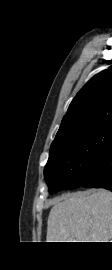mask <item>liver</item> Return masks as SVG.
I'll return each mask as SVG.
<instances>
[{
	"instance_id": "6515ba94",
	"label": "liver",
	"mask_w": 112,
	"mask_h": 270,
	"mask_svg": "<svg viewBox=\"0 0 112 270\" xmlns=\"http://www.w3.org/2000/svg\"><path fill=\"white\" fill-rule=\"evenodd\" d=\"M112 239V192L69 194L52 207L47 242H108Z\"/></svg>"
}]
</instances>
